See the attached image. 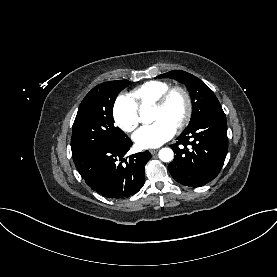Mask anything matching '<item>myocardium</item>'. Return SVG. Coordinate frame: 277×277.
Here are the masks:
<instances>
[{"label": "myocardium", "instance_id": "myocardium-1", "mask_svg": "<svg viewBox=\"0 0 277 277\" xmlns=\"http://www.w3.org/2000/svg\"><path fill=\"white\" fill-rule=\"evenodd\" d=\"M179 93L183 96L185 100V111L176 125L178 129L183 128L186 126L191 118L192 115V110H193V103H192V98L188 90L182 86H173L168 88L164 93L161 94V96L152 104V108L154 109H162L164 108L170 98L172 97L173 94Z\"/></svg>", "mask_w": 277, "mask_h": 277}]
</instances>
